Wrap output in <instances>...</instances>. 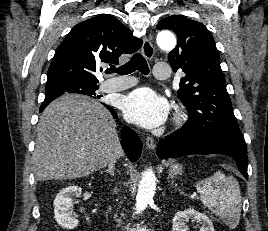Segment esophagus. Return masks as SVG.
<instances>
[{
	"mask_svg": "<svg viewBox=\"0 0 268 231\" xmlns=\"http://www.w3.org/2000/svg\"><path fill=\"white\" fill-rule=\"evenodd\" d=\"M141 53L142 55L148 59L151 60L154 56V46L149 38H145L141 47ZM146 148L151 150L155 148V142L154 139L151 136H148L145 141Z\"/></svg>",
	"mask_w": 268,
	"mask_h": 231,
	"instance_id": "1",
	"label": "esophagus"
}]
</instances>
